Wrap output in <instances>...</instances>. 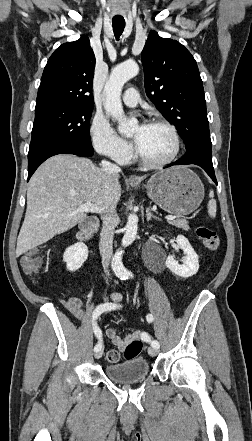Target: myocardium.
<instances>
[{
	"instance_id": "myocardium-1",
	"label": "myocardium",
	"mask_w": 252,
	"mask_h": 441,
	"mask_svg": "<svg viewBox=\"0 0 252 441\" xmlns=\"http://www.w3.org/2000/svg\"><path fill=\"white\" fill-rule=\"evenodd\" d=\"M146 125L163 126L166 129H168L173 137L174 148H173L171 155L168 158H166L165 160L159 161V162H153V161L146 159L140 153V151L136 148L135 153H136L137 159L144 167L149 168V169H161V168H164V167L170 165L177 158V156L180 152V149H181V140H180V135L178 133L177 128L173 124H171L170 122H168L164 119H152V120H149L146 123Z\"/></svg>"
}]
</instances>
